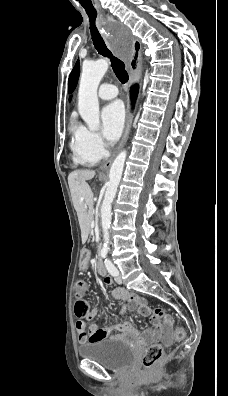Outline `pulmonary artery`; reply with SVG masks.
<instances>
[{"label":"pulmonary artery","mask_w":228,"mask_h":396,"mask_svg":"<svg viewBox=\"0 0 228 396\" xmlns=\"http://www.w3.org/2000/svg\"><path fill=\"white\" fill-rule=\"evenodd\" d=\"M118 95V89L113 84L103 83L98 90V96L103 100H110Z\"/></svg>","instance_id":"pulmonary-artery-1"}]
</instances>
